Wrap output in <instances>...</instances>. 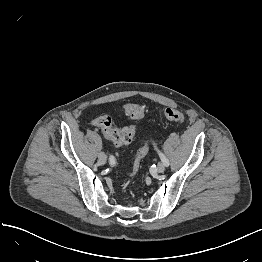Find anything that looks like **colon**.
Here are the masks:
<instances>
[{"label": "colon", "mask_w": 262, "mask_h": 262, "mask_svg": "<svg viewBox=\"0 0 262 262\" xmlns=\"http://www.w3.org/2000/svg\"><path fill=\"white\" fill-rule=\"evenodd\" d=\"M123 110L132 120H140L145 117L146 110L143 106L138 104H125ZM163 116L172 121L182 122L184 120V115L181 111L176 108L167 107L163 110ZM96 125L102 129L107 138L115 145L122 146L130 143L136 133V128L134 125L125 126L122 128H113L112 119L108 116H102L96 121ZM152 142L146 141L143 146L139 149L134 157L132 168L130 172V178L133 181L139 171L140 164L144 157L149 152Z\"/></svg>", "instance_id": "5ec220e1"}]
</instances>
